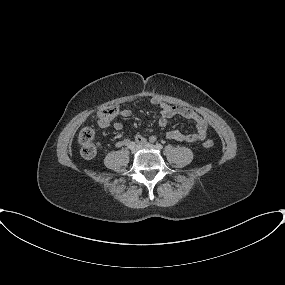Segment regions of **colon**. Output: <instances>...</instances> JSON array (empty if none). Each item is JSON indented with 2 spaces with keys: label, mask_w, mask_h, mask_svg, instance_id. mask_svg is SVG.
<instances>
[{
  "label": "colon",
  "mask_w": 285,
  "mask_h": 285,
  "mask_svg": "<svg viewBox=\"0 0 285 285\" xmlns=\"http://www.w3.org/2000/svg\"><path fill=\"white\" fill-rule=\"evenodd\" d=\"M118 113V108L116 106H109L99 112V118L103 121L112 120ZM78 141L80 144V152L84 158H92L96 155L98 151V143L95 141V134L91 128H84L80 131L78 135ZM204 147L212 148L213 142L211 140H206L204 142Z\"/></svg>",
  "instance_id": "1"
}]
</instances>
